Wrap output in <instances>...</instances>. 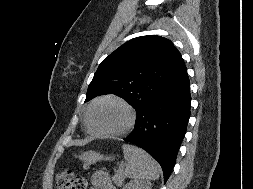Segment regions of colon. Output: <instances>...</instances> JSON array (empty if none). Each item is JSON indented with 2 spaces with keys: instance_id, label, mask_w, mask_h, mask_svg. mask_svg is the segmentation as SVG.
I'll list each match as a JSON object with an SVG mask.
<instances>
[{
  "instance_id": "obj_1",
  "label": "colon",
  "mask_w": 253,
  "mask_h": 189,
  "mask_svg": "<svg viewBox=\"0 0 253 189\" xmlns=\"http://www.w3.org/2000/svg\"><path fill=\"white\" fill-rule=\"evenodd\" d=\"M58 189H86V180L70 169H64L57 175Z\"/></svg>"
}]
</instances>
